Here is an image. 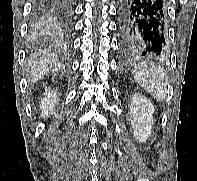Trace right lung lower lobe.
I'll return each mask as SVG.
<instances>
[{
	"instance_id": "1",
	"label": "right lung lower lobe",
	"mask_w": 197,
	"mask_h": 181,
	"mask_svg": "<svg viewBox=\"0 0 197 181\" xmlns=\"http://www.w3.org/2000/svg\"><path fill=\"white\" fill-rule=\"evenodd\" d=\"M38 13L41 21L59 23L70 28L73 17V0H37Z\"/></svg>"
}]
</instances>
